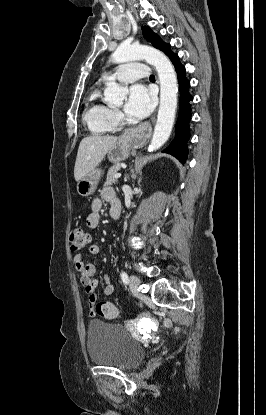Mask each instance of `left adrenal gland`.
I'll return each mask as SVG.
<instances>
[{
  "instance_id": "obj_1",
  "label": "left adrenal gland",
  "mask_w": 266,
  "mask_h": 415,
  "mask_svg": "<svg viewBox=\"0 0 266 415\" xmlns=\"http://www.w3.org/2000/svg\"><path fill=\"white\" fill-rule=\"evenodd\" d=\"M125 178L128 179L129 177L126 175Z\"/></svg>"
}]
</instances>
